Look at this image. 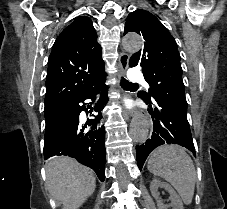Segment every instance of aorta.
I'll use <instances>...</instances> for the list:
<instances>
[{"instance_id": "762f6f07", "label": "aorta", "mask_w": 227, "mask_h": 209, "mask_svg": "<svg viewBox=\"0 0 227 209\" xmlns=\"http://www.w3.org/2000/svg\"><path fill=\"white\" fill-rule=\"evenodd\" d=\"M143 42L139 35L130 34L124 37L123 47L131 52L136 53L142 48ZM130 135L136 143H144L149 135V125L143 115H138L132 122Z\"/></svg>"}]
</instances>
